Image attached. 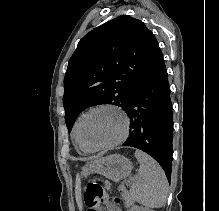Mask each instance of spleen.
<instances>
[{
  "mask_svg": "<svg viewBox=\"0 0 219 211\" xmlns=\"http://www.w3.org/2000/svg\"><path fill=\"white\" fill-rule=\"evenodd\" d=\"M135 157L140 161V169L130 187L133 201L147 207H162L167 197L168 181L161 165L141 149H136Z\"/></svg>",
  "mask_w": 219,
  "mask_h": 211,
  "instance_id": "3e777b00",
  "label": "spleen"
}]
</instances>
